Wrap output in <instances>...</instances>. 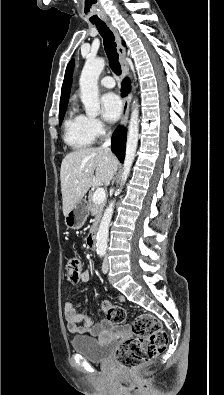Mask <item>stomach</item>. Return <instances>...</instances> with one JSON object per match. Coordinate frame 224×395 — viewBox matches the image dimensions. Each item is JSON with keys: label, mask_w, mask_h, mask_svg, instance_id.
Listing matches in <instances>:
<instances>
[{"label": "stomach", "mask_w": 224, "mask_h": 395, "mask_svg": "<svg viewBox=\"0 0 224 395\" xmlns=\"http://www.w3.org/2000/svg\"><path fill=\"white\" fill-rule=\"evenodd\" d=\"M87 203L79 201L66 215L65 225L69 229H80L88 217Z\"/></svg>", "instance_id": "0dacf381"}]
</instances>
